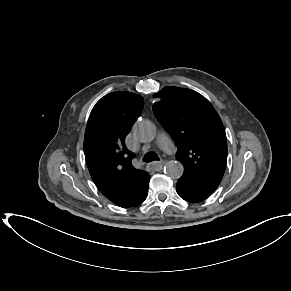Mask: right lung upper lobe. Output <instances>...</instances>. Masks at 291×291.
I'll list each match as a JSON object with an SVG mask.
<instances>
[{
  "mask_svg": "<svg viewBox=\"0 0 291 291\" xmlns=\"http://www.w3.org/2000/svg\"><path fill=\"white\" fill-rule=\"evenodd\" d=\"M143 105L137 94L112 92L95 104L87 122L84 153L90 175L117 205L136 203L148 191L149 174L132 166L134 155L124 143Z\"/></svg>",
  "mask_w": 291,
  "mask_h": 291,
  "instance_id": "1",
  "label": "right lung upper lobe"
}]
</instances>
